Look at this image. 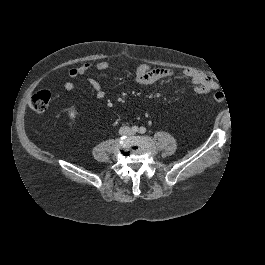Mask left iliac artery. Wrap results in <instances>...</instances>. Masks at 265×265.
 <instances>
[{"label": "left iliac artery", "mask_w": 265, "mask_h": 265, "mask_svg": "<svg viewBox=\"0 0 265 265\" xmlns=\"http://www.w3.org/2000/svg\"><path fill=\"white\" fill-rule=\"evenodd\" d=\"M139 132L141 134H144L146 132V128L145 127H141L140 130H139Z\"/></svg>", "instance_id": "obj_1"}]
</instances>
